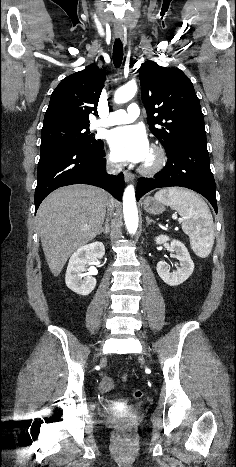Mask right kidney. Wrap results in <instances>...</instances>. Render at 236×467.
<instances>
[{
	"label": "right kidney",
	"instance_id": "right-kidney-1",
	"mask_svg": "<svg viewBox=\"0 0 236 467\" xmlns=\"http://www.w3.org/2000/svg\"><path fill=\"white\" fill-rule=\"evenodd\" d=\"M104 254L105 247L102 242H93L78 248L68 263L65 275L67 287L79 295L90 294L96 286V279L92 275H95L97 271L90 269L88 273H85L87 265L101 259Z\"/></svg>",
	"mask_w": 236,
	"mask_h": 467
}]
</instances>
